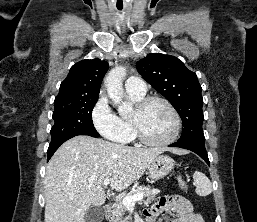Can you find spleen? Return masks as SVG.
Returning a JSON list of instances; mask_svg holds the SVG:
<instances>
[{"label": "spleen", "instance_id": "spleen-1", "mask_svg": "<svg viewBox=\"0 0 257 222\" xmlns=\"http://www.w3.org/2000/svg\"><path fill=\"white\" fill-rule=\"evenodd\" d=\"M193 178L196 185V193L199 196H207L211 194L212 183L205 174L201 172H195Z\"/></svg>", "mask_w": 257, "mask_h": 222}]
</instances>
